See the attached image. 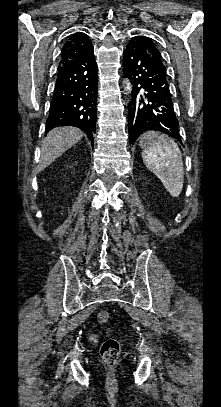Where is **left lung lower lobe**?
I'll list each match as a JSON object with an SVG mask.
<instances>
[{"instance_id": "0a47b994", "label": "left lung lower lobe", "mask_w": 221, "mask_h": 407, "mask_svg": "<svg viewBox=\"0 0 221 407\" xmlns=\"http://www.w3.org/2000/svg\"><path fill=\"white\" fill-rule=\"evenodd\" d=\"M123 56L124 75L133 85L128 106L130 143L148 130L181 142L165 67L150 56L149 48L138 36L129 41Z\"/></svg>"}]
</instances>
